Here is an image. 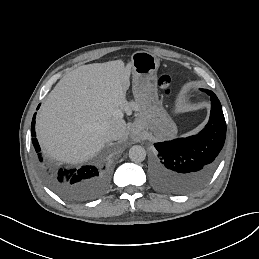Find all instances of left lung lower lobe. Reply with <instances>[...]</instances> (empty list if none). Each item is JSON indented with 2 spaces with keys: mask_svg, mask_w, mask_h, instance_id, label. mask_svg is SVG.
<instances>
[{
  "mask_svg": "<svg viewBox=\"0 0 259 259\" xmlns=\"http://www.w3.org/2000/svg\"><path fill=\"white\" fill-rule=\"evenodd\" d=\"M211 97V113L206 127L197 135L155 143L158 151L151 163L154 184L168 193H186L204 182L215 171L226 138V122L217 96Z\"/></svg>",
  "mask_w": 259,
  "mask_h": 259,
  "instance_id": "1",
  "label": "left lung lower lobe"
}]
</instances>
